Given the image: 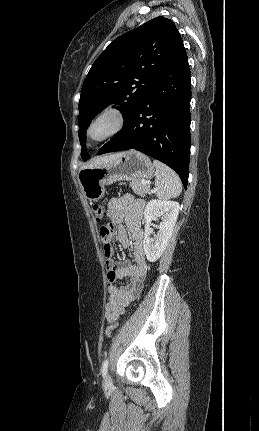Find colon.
Here are the masks:
<instances>
[{"label":"colon","mask_w":259,"mask_h":431,"mask_svg":"<svg viewBox=\"0 0 259 431\" xmlns=\"http://www.w3.org/2000/svg\"><path fill=\"white\" fill-rule=\"evenodd\" d=\"M93 213L96 216V218L99 220L101 216L103 215V206L99 203H95L92 207ZM100 237L104 244V253L108 254L110 251V241L113 236L114 227L111 223H102L100 226ZM117 328V323L113 322L106 328V336L111 337L114 333V331Z\"/></svg>","instance_id":"obj_1"}]
</instances>
